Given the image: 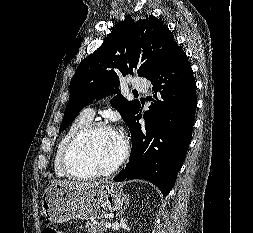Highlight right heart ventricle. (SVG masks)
Returning a JSON list of instances; mask_svg holds the SVG:
<instances>
[{
  "mask_svg": "<svg viewBox=\"0 0 253 233\" xmlns=\"http://www.w3.org/2000/svg\"><path fill=\"white\" fill-rule=\"evenodd\" d=\"M91 122V118H88L86 116H83L80 114L67 128L65 133L62 135L61 139L59 140V143L57 145L55 154H54V160H53V166L55 174L59 177H69L67 172L65 171L63 167V155L65 152V149L70 142V140L86 125H88Z\"/></svg>",
  "mask_w": 253,
  "mask_h": 233,
  "instance_id": "1",
  "label": "right heart ventricle"
}]
</instances>
